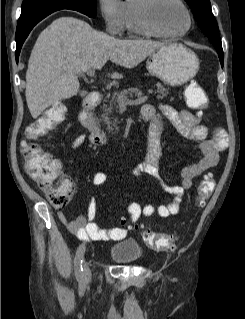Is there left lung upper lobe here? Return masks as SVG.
Masks as SVG:
<instances>
[{
    "label": "left lung upper lobe",
    "instance_id": "obj_1",
    "mask_svg": "<svg viewBox=\"0 0 245 319\" xmlns=\"http://www.w3.org/2000/svg\"><path fill=\"white\" fill-rule=\"evenodd\" d=\"M190 6L202 32L215 48L222 50L218 25L212 13L209 0H185Z\"/></svg>",
    "mask_w": 245,
    "mask_h": 319
}]
</instances>
